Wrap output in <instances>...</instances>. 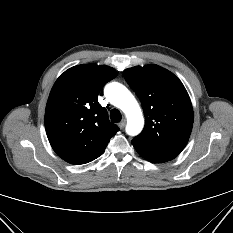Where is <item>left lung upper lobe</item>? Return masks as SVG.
<instances>
[{"mask_svg":"<svg viewBox=\"0 0 233 233\" xmlns=\"http://www.w3.org/2000/svg\"><path fill=\"white\" fill-rule=\"evenodd\" d=\"M123 75L139 97L145 115V127L132 141L184 149L193 126V109L181 81L157 65L128 68Z\"/></svg>","mask_w":233,"mask_h":233,"instance_id":"5c2ea615","label":"left lung upper lobe"}]
</instances>
